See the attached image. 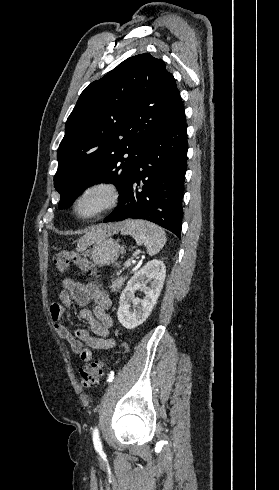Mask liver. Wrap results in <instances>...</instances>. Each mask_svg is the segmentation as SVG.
Segmentation results:
<instances>
[{"mask_svg": "<svg viewBox=\"0 0 279 490\" xmlns=\"http://www.w3.org/2000/svg\"><path fill=\"white\" fill-rule=\"evenodd\" d=\"M124 222H119V224H100V226H95V228H90L86 232L85 236H82L78 240V248L80 250H86L87 246H91L95 240H101V238H109L112 234H117L121 232Z\"/></svg>", "mask_w": 279, "mask_h": 490, "instance_id": "obj_1", "label": "liver"}]
</instances>
